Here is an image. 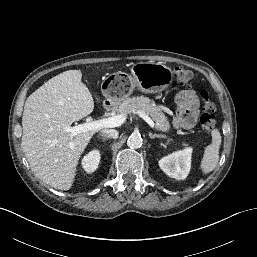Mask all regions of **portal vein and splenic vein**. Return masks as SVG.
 <instances>
[{
    "mask_svg": "<svg viewBox=\"0 0 257 257\" xmlns=\"http://www.w3.org/2000/svg\"><path fill=\"white\" fill-rule=\"evenodd\" d=\"M136 114H138L141 118H143L151 128H155V123L153 120L144 112L142 111H136ZM126 120V117L124 114L116 115L109 118H104L100 120H87L85 123L77 125V126H69L65 127L64 130L68 133H70V136L73 137L79 133L86 132V131H98L102 128H113L118 127L122 125Z\"/></svg>",
    "mask_w": 257,
    "mask_h": 257,
    "instance_id": "1",
    "label": "portal vein and splenic vein"
}]
</instances>
